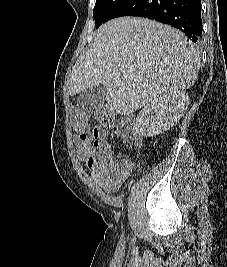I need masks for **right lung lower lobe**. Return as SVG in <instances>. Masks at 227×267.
Wrapping results in <instances>:
<instances>
[{
	"label": "right lung lower lobe",
	"mask_w": 227,
	"mask_h": 267,
	"mask_svg": "<svg viewBox=\"0 0 227 267\" xmlns=\"http://www.w3.org/2000/svg\"><path fill=\"white\" fill-rule=\"evenodd\" d=\"M153 19L178 28L193 42L202 34L201 0H128L114 15Z\"/></svg>",
	"instance_id": "98d812e1"
}]
</instances>
